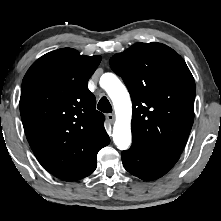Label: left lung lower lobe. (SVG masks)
<instances>
[{"instance_id": "0a47b994", "label": "left lung lower lobe", "mask_w": 221, "mask_h": 221, "mask_svg": "<svg viewBox=\"0 0 221 221\" xmlns=\"http://www.w3.org/2000/svg\"><path fill=\"white\" fill-rule=\"evenodd\" d=\"M125 169L143 180H155L165 175L178 161L180 155L154 151L134 141L129 150L123 151Z\"/></svg>"}]
</instances>
